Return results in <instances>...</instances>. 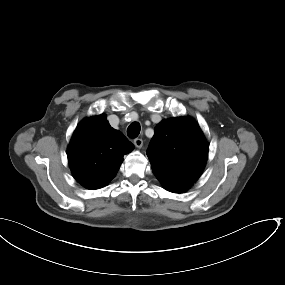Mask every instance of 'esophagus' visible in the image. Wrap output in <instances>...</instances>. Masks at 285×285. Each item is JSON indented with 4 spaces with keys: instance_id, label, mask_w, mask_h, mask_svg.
<instances>
[{
    "instance_id": "1",
    "label": "esophagus",
    "mask_w": 285,
    "mask_h": 285,
    "mask_svg": "<svg viewBox=\"0 0 285 285\" xmlns=\"http://www.w3.org/2000/svg\"><path fill=\"white\" fill-rule=\"evenodd\" d=\"M134 145H135L137 148H141L142 145H143V140L140 139V138L134 139Z\"/></svg>"
}]
</instances>
